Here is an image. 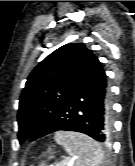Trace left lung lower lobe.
Returning a JSON list of instances; mask_svg holds the SVG:
<instances>
[{
	"label": "left lung lower lobe",
	"mask_w": 135,
	"mask_h": 166,
	"mask_svg": "<svg viewBox=\"0 0 135 166\" xmlns=\"http://www.w3.org/2000/svg\"><path fill=\"white\" fill-rule=\"evenodd\" d=\"M112 103L107 76L94 56L83 69L74 85L68 102L56 119L47 125L37 122L20 127L21 139L34 132L33 140L50 133L66 130L81 132L93 139L106 142L112 130Z\"/></svg>",
	"instance_id": "left-lung-lower-lobe-1"
}]
</instances>
